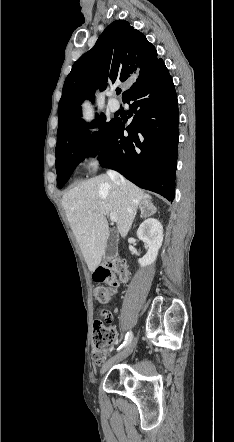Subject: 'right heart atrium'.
Masks as SVG:
<instances>
[{
    "label": "right heart atrium",
    "mask_w": 234,
    "mask_h": 442,
    "mask_svg": "<svg viewBox=\"0 0 234 442\" xmlns=\"http://www.w3.org/2000/svg\"><path fill=\"white\" fill-rule=\"evenodd\" d=\"M84 146L86 151V165L90 171H95L98 167L103 151V140L99 130H91L84 136Z\"/></svg>",
    "instance_id": "1"
}]
</instances>
